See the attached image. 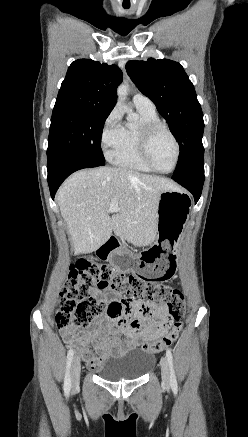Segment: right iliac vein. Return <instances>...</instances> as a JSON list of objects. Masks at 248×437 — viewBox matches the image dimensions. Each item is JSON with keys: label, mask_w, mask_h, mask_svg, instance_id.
<instances>
[{"label": "right iliac vein", "mask_w": 248, "mask_h": 437, "mask_svg": "<svg viewBox=\"0 0 248 437\" xmlns=\"http://www.w3.org/2000/svg\"><path fill=\"white\" fill-rule=\"evenodd\" d=\"M80 373H81L80 357L78 355H75L71 365V380H72L73 387L78 386L80 381Z\"/></svg>", "instance_id": "1"}]
</instances>
